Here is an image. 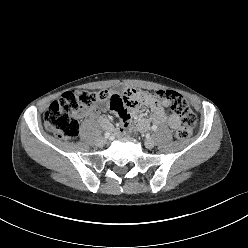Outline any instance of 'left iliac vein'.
I'll use <instances>...</instances> for the list:
<instances>
[{
    "instance_id": "4c4485c4",
    "label": "left iliac vein",
    "mask_w": 248,
    "mask_h": 248,
    "mask_svg": "<svg viewBox=\"0 0 248 248\" xmlns=\"http://www.w3.org/2000/svg\"><path fill=\"white\" fill-rule=\"evenodd\" d=\"M146 148L151 149L155 146V141L152 138H147L144 142Z\"/></svg>"
}]
</instances>
